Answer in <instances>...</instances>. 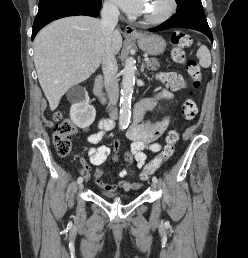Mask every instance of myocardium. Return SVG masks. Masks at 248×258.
I'll return each instance as SVG.
<instances>
[{
  "label": "myocardium",
  "mask_w": 248,
  "mask_h": 258,
  "mask_svg": "<svg viewBox=\"0 0 248 258\" xmlns=\"http://www.w3.org/2000/svg\"><path fill=\"white\" fill-rule=\"evenodd\" d=\"M168 2L169 5L162 14L156 17H144L143 21L150 25H158L170 19L176 12L178 4L177 0H169Z\"/></svg>",
  "instance_id": "obj_1"
}]
</instances>
